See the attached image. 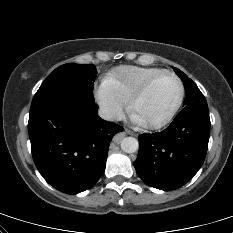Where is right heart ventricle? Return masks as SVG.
<instances>
[{
	"label": "right heart ventricle",
	"mask_w": 233,
	"mask_h": 233,
	"mask_svg": "<svg viewBox=\"0 0 233 233\" xmlns=\"http://www.w3.org/2000/svg\"><path fill=\"white\" fill-rule=\"evenodd\" d=\"M162 71L156 67L122 66L109 73L103 85L123 103H128L147 80Z\"/></svg>",
	"instance_id": "1"
}]
</instances>
